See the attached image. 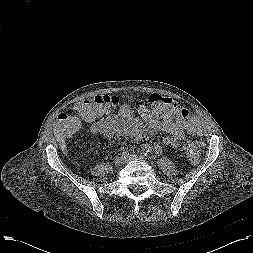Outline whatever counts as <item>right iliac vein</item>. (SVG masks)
<instances>
[{"mask_svg": "<svg viewBox=\"0 0 253 253\" xmlns=\"http://www.w3.org/2000/svg\"><path fill=\"white\" fill-rule=\"evenodd\" d=\"M125 163V159L121 156H117L115 159H114V164L116 166H121Z\"/></svg>", "mask_w": 253, "mask_h": 253, "instance_id": "obj_1", "label": "right iliac vein"}]
</instances>
